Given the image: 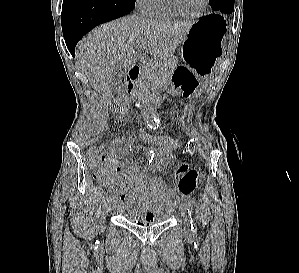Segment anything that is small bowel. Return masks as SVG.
Returning <instances> with one entry per match:
<instances>
[{"label": "small bowel", "mask_w": 299, "mask_h": 273, "mask_svg": "<svg viewBox=\"0 0 299 273\" xmlns=\"http://www.w3.org/2000/svg\"><path fill=\"white\" fill-rule=\"evenodd\" d=\"M127 144L121 150H107L104 154L107 173L101 181L120 195L124 208L138 212L145 218H150L153 211L159 208L173 209L179 202V195L169 190L166 183L157 176L142 174L137 164L121 165L118 156H128L133 146V133L124 134ZM176 147L166 149H148L140 151L148 157L149 165L155 168H165L169 163L177 161L174 153ZM191 153V147L184 150L182 157ZM189 170L187 163L178 160L174 175H182Z\"/></svg>", "instance_id": "1"}]
</instances>
